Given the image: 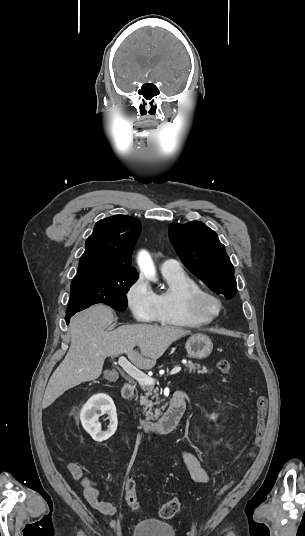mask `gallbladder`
I'll list each match as a JSON object with an SVG mask.
<instances>
[{
    "label": "gallbladder",
    "mask_w": 305,
    "mask_h": 536,
    "mask_svg": "<svg viewBox=\"0 0 305 536\" xmlns=\"http://www.w3.org/2000/svg\"><path fill=\"white\" fill-rule=\"evenodd\" d=\"M111 374H112V372H109V370H105L104 378H106V380H110Z\"/></svg>",
    "instance_id": "bac80fb5"
}]
</instances>
